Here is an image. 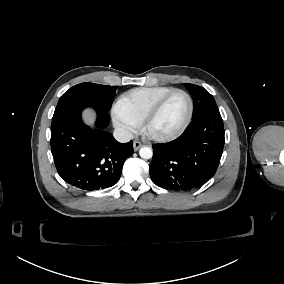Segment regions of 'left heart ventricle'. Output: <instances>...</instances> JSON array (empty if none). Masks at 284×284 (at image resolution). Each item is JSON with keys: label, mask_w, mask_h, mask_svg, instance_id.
I'll use <instances>...</instances> for the list:
<instances>
[{"label": "left heart ventricle", "mask_w": 284, "mask_h": 284, "mask_svg": "<svg viewBox=\"0 0 284 284\" xmlns=\"http://www.w3.org/2000/svg\"><path fill=\"white\" fill-rule=\"evenodd\" d=\"M189 112L186 96L177 92L165 103L161 111L151 120L148 132L154 136H168L176 132L185 122Z\"/></svg>", "instance_id": "1"}]
</instances>
